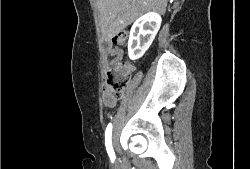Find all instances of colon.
I'll return each mask as SVG.
<instances>
[{
    "instance_id": "1",
    "label": "colon",
    "mask_w": 250,
    "mask_h": 169,
    "mask_svg": "<svg viewBox=\"0 0 250 169\" xmlns=\"http://www.w3.org/2000/svg\"><path fill=\"white\" fill-rule=\"evenodd\" d=\"M113 43L122 46L125 45L128 39V34L125 32L112 34ZM133 66L129 62H117L107 71L106 82L111 96L115 99H120L124 96L129 84Z\"/></svg>"
}]
</instances>
